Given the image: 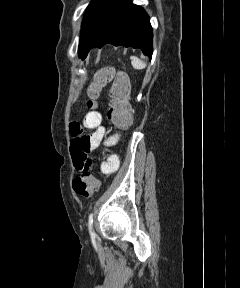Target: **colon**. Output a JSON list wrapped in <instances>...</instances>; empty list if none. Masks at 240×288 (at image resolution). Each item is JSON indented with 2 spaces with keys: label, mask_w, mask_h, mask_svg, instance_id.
Returning <instances> with one entry per match:
<instances>
[{
  "label": "colon",
  "mask_w": 240,
  "mask_h": 288,
  "mask_svg": "<svg viewBox=\"0 0 240 288\" xmlns=\"http://www.w3.org/2000/svg\"><path fill=\"white\" fill-rule=\"evenodd\" d=\"M112 83L110 95V107L108 118L117 127H127L132 121V108L129 102L130 86L125 72L113 67H104L99 70L88 88L89 107L95 105L102 87ZM90 165L73 180L74 191L82 197H90L99 188V181L90 173Z\"/></svg>",
  "instance_id": "1"
}]
</instances>
